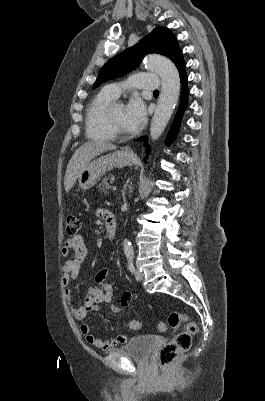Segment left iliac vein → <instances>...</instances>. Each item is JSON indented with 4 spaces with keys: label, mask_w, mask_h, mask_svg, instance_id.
Returning a JSON list of instances; mask_svg holds the SVG:
<instances>
[{
    "label": "left iliac vein",
    "mask_w": 265,
    "mask_h": 401,
    "mask_svg": "<svg viewBox=\"0 0 265 401\" xmlns=\"http://www.w3.org/2000/svg\"><path fill=\"white\" fill-rule=\"evenodd\" d=\"M143 274L139 270H135V278L137 281H141Z\"/></svg>",
    "instance_id": "obj_1"
}]
</instances>
